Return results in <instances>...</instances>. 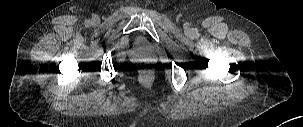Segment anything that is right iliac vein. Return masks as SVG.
<instances>
[{"label":"right iliac vein","instance_id":"1","mask_svg":"<svg viewBox=\"0 0 303 127\" xmlns=\"http://www.w3.org/2000/svg\"><path fill=\"white\" fill-rule=\"evenodd\" d=\"M94 22L97 23V22H98V18H95V19H94Z\"/></svg>","mask_w":303,"mask_h":127}]
</instances>
